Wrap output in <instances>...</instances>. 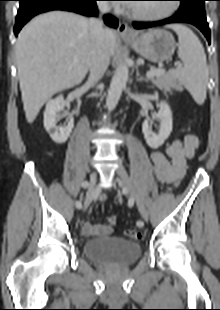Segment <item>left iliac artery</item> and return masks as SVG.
<instances>
[{
  "label": "left iliac artery",
  "instance_id": "44dca946",
  "mask_svg": "<svg viewBox=\"0 0 220 310\" xmlns=\"http://www.w3.org/2000/svg\"><path fill=\"white\" fill-rule=\"evenodd\" d=\"M128 206L129 207H133L134 206V200L131 198V199H129V201H128ZM136 225L138 226V227H142L143 226V222L141 221V220H138L137 222H136Z\"/></svg>",
  "mask_w": 220,
  "mask_h": 310
}]
</instances>
